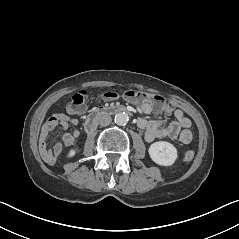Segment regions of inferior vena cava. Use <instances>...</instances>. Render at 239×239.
Masks as SVG:
<instances>
[{
    "mask_svg": "<svg viewBox=\"0 0 239 239\" xmlns=\"http://www.w3.org/2000/svg\"><path fill=\"white\" fill-rule=\"evenodd\" d=\"M111 122H112V118L108 114H104V115L100 116V118L98 120V123L103 127L110 125Z\"/></svg>",
    "mask_w": 239,
    "mask_h": 239,
    "instance_id": "inferior-vena-cava-1",
    "label": "inferior vena cava"
}]
</instances>
